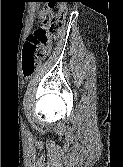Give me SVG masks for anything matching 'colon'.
<instances>
[{
  "mask_svg": "<svg viewBox=\"0 0 123 167\" xmlns=\"http://www.w3.org/2000/svg\"><path fill=\"white\" fill-rule=\"evenodd\" d=\"M65 15L62 4L41 11L42 24L27 38L23 49L22 72L26 78L35 72L40 60L47 54L52 38L62 31Z\"/></svg>",
  "mask_w": 123,
  "mask_h": 167,
  "instance_id": "1",
  "label": "colon"
}]
</instances>
